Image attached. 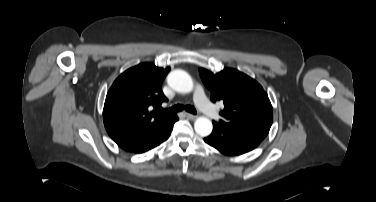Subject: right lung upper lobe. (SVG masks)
I'll list each match as a JSON object with an SVG mask.
<instances>
[{
  "instance_id": "cb5924a9",
  "label": "right lung upper lobe",
  "mask_w": 376,
  "mask_h": 202,
  "mask_svg": "<svg viewBox=\"0 0 376 202\" xmlns=\"http://www.w3.org/2000/svg\"><path fill=\"white\" fill-rule=\"evenodd\" d=\"M170 68L142 63L123 72L109 89L103 120L118 146H126L159 127L174 114L161 111L167 101L161 85ZM150 107L156 109L150 111ZM160 108V109H158Z\"/></svg>"
}]
</instances>
